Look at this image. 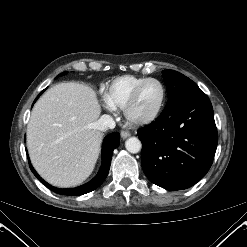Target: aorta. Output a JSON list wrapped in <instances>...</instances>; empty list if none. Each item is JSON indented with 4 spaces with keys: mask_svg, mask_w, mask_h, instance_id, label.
<instances>
[{
    "mask_svg": "<svg viewBox=\"0 0 247 247\" xmlns=\"http://www.w3.org/2000/svg\"><path fill=\"white\" fill-rule=\"evenodd\" d=\"M125 147L130 153H138L141 150L142 144L137 137H131L126 140Z\"/></svg>",
    "mask_w": 247,
    "mask_h": 247,
    "instance_id": "762f6f07",
    "label": "aorta"
}]
</instances>
